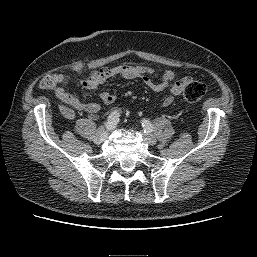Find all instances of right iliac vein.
Instances as JSON below:
<instances>
[{
	"instance_id": "obj_1",
	"label": "right iliac vein",
	"mask_w": 257,
	"mask_h": 257,
	"mask_svg": "<svg viewBox=\"0 0 257 257\" xmlns=\"http://www.w3.org/2000/svg\"><path fill=\"white\" fill-rule=\"evenodd\" d=\"M107 131L104 127H101L97 130L94 142L96 144H101L107 138Z\"/></svg>"
}]
</instances>
